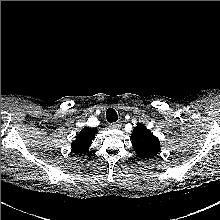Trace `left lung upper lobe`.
<instances>
[{
	"mask_svg": "<svg viewBox=\"0 0 220 220\" xmlns=\"http://www.w3.org/2000/svg\"><path fill=\"white\" fill-rule=\"evenodd\" d=\"M134 150L139 158L149 159L160 152L159 139L143 124H138L131 135Z\"/></svg>",
	"mask_w": 220,
	"mask_h": 220,
	"instance_id": "1",
	"label": "left lung upper lobe"
}]
</instances>
